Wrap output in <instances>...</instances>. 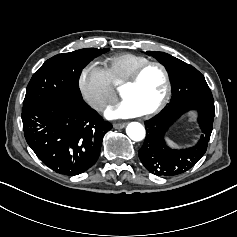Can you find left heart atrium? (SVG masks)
Segmentation results:
<instances>
[{"instance_id":"obj_1","label":"left heart atrium","mask_w":237,"mask_h":237,"mask_svg":"<svg viewBox=\"0 0 237 237\" xmlns=\"http://www.w3.org/2000/svg\"><path fill=\"white\" fill-rule=\"evenodd\" d=\"M141 113L127 100L106 111L105 116L110 120L126 119L140 116Z\"/></svg>"}]
</instances>
